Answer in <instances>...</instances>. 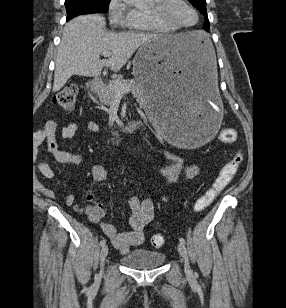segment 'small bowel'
<instances>
[{
	"label": "small bowel",
	"instance_id": "obj_1",
	"mask_svg": "<svg viewBox=\"0 0 286 308\" xmlns=\"http://www.w3.org/2000/svg\"><path fill=\"white\" fill-rule=\"evenodd\" d=\"M57 128L58 125L55 121L46 122L44 128L35 134L36 142L39 143L46 140L49 148L54 152L56 159L62 163L71 165L82 163L83 157L81 155L57 148ZM77 130L78 125L76 123H69L60 130V137L64 140H70L74 137ZM88 130L93 134H97L99 132V126L91 121L88 124ZM163 153L169 166L159 175L161 187L164 184L173 183L178 179H192L199 174V169L195 165L181 162L172 150L165 149ZM38 169L45 178H53L54 173L48 163L44 161L40 162ZM91 171L95 185L101 184L108 179L106 169L100 164L93 165ZM95 185L89 188L86 194L87 200L91 202L90 205L85 207L76 205L72 195H67L64 198V204L74 207L78 212L86 214L91 222L99 224L102 232L119 251L127 252L130 248L142 244L144 229L154 218L155 199L147 198L140 201L135 197H130L128 199V205L132 211V215L128 222V229L124 232H119L112 224L102 222L107 217V211L101 203L96 201ZM46 193L51 195V192L48 190H46Z\"/></svg>",
	"mask_w": 286,
	"mask_h": 308
}]
</instances>
